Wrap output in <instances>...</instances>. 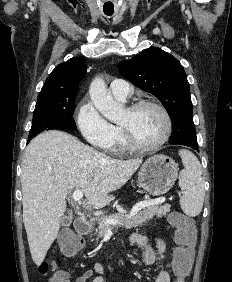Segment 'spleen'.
Here are the masks:
<instances>
[{
    "label": "spleen",
    "mask_w": 232,
    "mask_h": 282,
    "mask_svg": "<svg viewBox=\"0 0 232 282\" xmlns=\"http://www.w3.org/2000/svg\"><path fill=\"white\" fill-rule=\"evenodd\" d=\"M179 155L184 165L179 176V186L183 192L180 206L186 215L194 217L200 214L204 201L202 167L192 152L183 149L179 151Z\"/></svg>",
    "instance_id": "obj_1"
}]
</instances>
